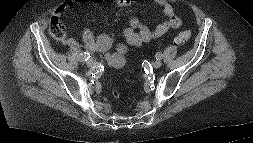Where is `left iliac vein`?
<instances>
[{
	"label": "left iliac vein",
	"instance_id": "obj_1",
	"mask_svg": "<svg viewBox=\"0 0 253 143\" xmlns=\"http://www.w3.org/2000/svg\"><path fill=\"white\" fill-rule=\"evenodd\" d=\"M161 65H162V62H161L160 60H157V61H155V62L153 63V67H154L155 69L160 68Z\"/></svg>",
	"mask_w": 253,
	"mask_h": 143
}]
</instances>
